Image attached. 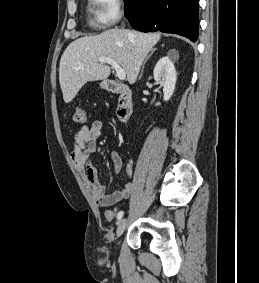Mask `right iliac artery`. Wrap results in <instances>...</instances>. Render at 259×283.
Listing matches in <instances>:
<instances>
[{
    "label": "right iliac artery",
    "mask_w": 259,
    "mask_h": 283,
    "mask_svg": "<svg viewBox=\"0 0 259 283\" xmlns=\"http://www.w3.org/2000/svg\"><path fill=\"white\" fill-rule=\"evenodd\" d=\"M123 215H124V212H123V211L118 212V214H117V219H118V221L121 220V218L123 217Z\"/></svg>",
    "instance_id": "1"
}]
</instances>
